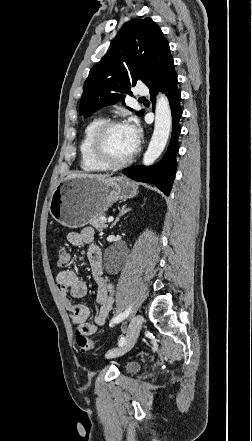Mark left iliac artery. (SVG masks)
I'll return each mask as SVG.
<instances>
[{"label": "left iliac artery", "instance_id": "obj_1", "mask_svg": "<svg viewBox=\"0 0 252 441\" xmlns=\"http://www.w3.org/2000/svg\"><path fill=\"white\" fill-rule=\"evenodd\" d=\"M131 310H132V306H129L123 313L114 317L111 320L110 326H112L113 324L119 323V322L123 321L125 318H127L129 316ZM125 342H126L125 337L121 336L118 344H119V346H123L125 344Z\"/></svg>", "mask_w": 252, "mask_h": 441}]
</instances>
